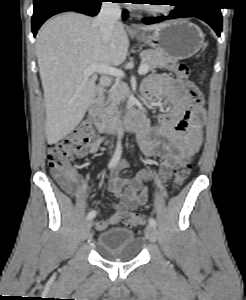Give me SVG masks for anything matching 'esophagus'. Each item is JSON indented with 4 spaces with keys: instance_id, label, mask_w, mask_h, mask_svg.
<instances>
[{
    "instance_id": "esophagus-1",
    "label": "esophagus",
    "mask_w": 246,
    "mask_h": 300,
    "mask_svg": "<svg viewBox=\"0 0 246 300\" xmlns=\"http://www.w3.org/2000/svg\"><path fill=\"white\" fill-rule=\"evenodd\" d=\"M129 29H130L131 32H135V30H136L134 25H131Z\"/></svg>"
}]
</instances>
